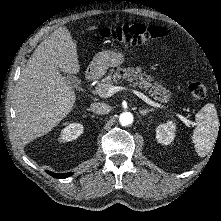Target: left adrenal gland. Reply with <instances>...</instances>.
Masks as SVG:
<instances>
[{
	"label": "left adrenal gland",
	"mask_w": 221,
	"mask_h": 221,
	"mask_svg": "<svg viewBox=\"0 0 221 221\" xmlns=\"http://www.w3.org/2000/svg\"><path fill=\"white\" fill-rule=\"evenodd\" d=\"M154 109H143V110H139L140 114L145 116L147 113L149 112H153Z\"/></svg>",
	"instance_id": "a2214340"
}]
</instances>
